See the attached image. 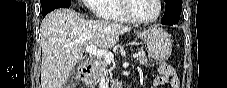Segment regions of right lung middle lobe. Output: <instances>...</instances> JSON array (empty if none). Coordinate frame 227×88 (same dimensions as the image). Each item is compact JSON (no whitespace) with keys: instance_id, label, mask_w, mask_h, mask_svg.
<instances>
[{"instance_id":"obj_1","label":"right lung middle lobe","mask_w":227,"mask_h":88,"mask_svg":"<svg viewBox=\"0 0 227 88\" xmlns=\"http://www.w3.org/2000/svg\"><path fill=\"white\" fill-rule=\"evenodd\" d=\"M42 5L43 15L48 14L57 8H69L71 0H40Z\"/></svg>"}]
</instances>
